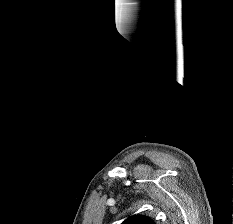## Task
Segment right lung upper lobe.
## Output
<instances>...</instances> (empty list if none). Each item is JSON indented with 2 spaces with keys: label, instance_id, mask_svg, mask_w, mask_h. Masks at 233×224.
Returning <instances> with one entry per match:
<instances>
[{
  "label": "right lung upper lobe",
  "instance_id": "right-lung-upper-lobe-1",
  "mask_svg": "<svg viewBox=\"0 0 233 224\" xmlns=\"http://www.w3.org/2000/svg\"><path fill=\"white\" fill-rule=\"evenodd\" d=\"M122 224H155L149 217L134 215L127 218Z\"/></svg>",
  "mask_w": 233,
  "mask_h": 224
}]
</instances>
